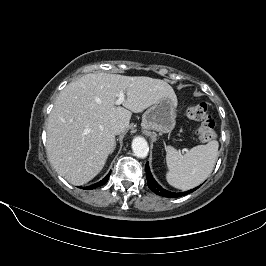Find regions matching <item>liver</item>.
Wrapping results in <instances>:
<instances>
[{"instance_id":"liver-1","label":"liver","mask_w":266,"mask_h":266,"mask_svg":"<svg viewBox=\"0 0 266 266\" xmlns=\"http://www.w3.org/2000/svg\"><path fill=\"white\" fill-rule=\"evenodd\" d=\"M120 91L127 95L125 108L115 106ZM166 97L177 104L176 94L167 82L145 76L89 73L69 83L47 120L49 162L71 184L89 182L115 149L110 124L122 120L127 128L132 112H142Z\"/></svg>"}]
</instances>
